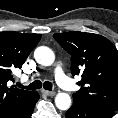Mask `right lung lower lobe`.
I'll return each mask as SVG.
<instances>
[{"label": "right lung lower lobe", "instance_id": "obj_1", "mask_svg": "<svg viewBox=\"0 0 118 118\" xmlns=\"http://www.w3.org/2000/svg\"><path fill=\"white\" fill-rule=\"evenodd\" d=\"M38 99H39V96H38ZM38 99H37V101H38ZM37 101H36V102H37ZM36 102H35V103H36ZM35 103H34V105H33L23 116H21L20 118H29V117L31 116L32 112H33Z\"/></svg>", "mask_w": 118, "mask_h": 118}]
</instances>
